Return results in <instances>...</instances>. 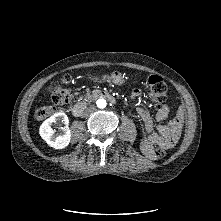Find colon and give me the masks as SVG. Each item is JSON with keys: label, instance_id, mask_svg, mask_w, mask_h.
<instances>
[{"label": "colon", "instance_id": "1", "mask_svg": "<svg viewBox=\"0 0 221 221\" xmlns=\"http://www.w3.org/2000/svg\"><path fill=\"white\" fill-rule=\"evenodd\" d=\"M70 81L69 76H65L62 80L61 86L55 88L51 93V102L49 106H44L38 108L35 112V117L38 120L46 119L54 115L59 109L66 106L70 100L69 89L65 87ZM148 93L151 99L152 105L159 109L163 103V100L167 93V84L164 79L158 75H152L148 78L146 83ZM169 143L167 141L158 144V146H153L151 157L162 158L166 154V149Z\"/></svg>", "mask_w": 221, "mask_h": 221}]
</instances>
